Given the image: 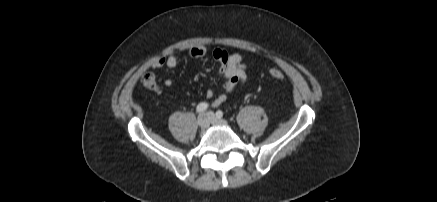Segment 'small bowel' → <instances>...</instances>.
I'll list each match as a JSON object with an SVG mask.
<instances>
[{"label": "small bowel", "instance_id": "small-bowel-1", "mask_svg": "<svg viewBox=\"0 0 437 202\" xmlns=\"http://www.w3.org/2000/svg\"><path fill=\"white\" fill-rule=\"evenodd\" d=\"M191 59H200L205 56L206 48L201 45L192 47L189 52ZM214 59L219 63V75L225 79L222 86L223 93L218 95L213 101L212 106L217 107L226 101L227 95L233 92L240 84H243L247 79V67L244 64V56L239 53L230 54L223 49H215L213 51ZM178 63L174 53L167 57H161L152 65L153 68H162L166 66L169 69L176 67ZM165 85L172 87V81L166 80ZM206 97L211 99L214 97L213 89L206 91Z\"/></svg>", "mask_w": 437, "mask_h": 202}]
</instances>
